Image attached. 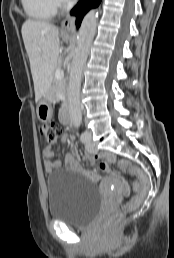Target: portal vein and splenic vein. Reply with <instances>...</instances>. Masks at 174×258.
I'll use <instances>...</instances> for the list:
<instances>
[{"label": "portal vein and splenic vein", "mask_w": 174, "mask_h": 258, "mask_svg": "<svg viewBox=\"0 0 174 258\" xmlns=\"http://www.w3.org/2000/svg\"><path fill=\"white\" fill-rule=\"evenodd\" d=\"M55 76H56V78H58V79H62V78L64 77V72H63L62 70L58 69V70H56V72H55Z\"/></svg>", "instance_id": "1"}]
</instances>
